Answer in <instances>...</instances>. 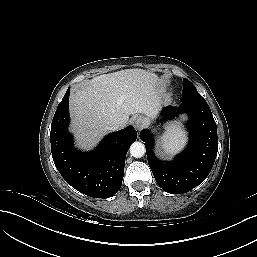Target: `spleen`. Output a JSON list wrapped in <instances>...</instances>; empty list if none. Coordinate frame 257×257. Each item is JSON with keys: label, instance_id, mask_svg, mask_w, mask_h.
Returning a JSON list of instances; mask_svg holds the SVG:
<instances>
[{"label": "spleen", "instance_id": "spleen-1", "mask_svg": "<svg viewBox=\"0 0 257 257\" xmlns=\"http://www.w3.org/2000/svg\"><path fill=\"white\" fill-rule=\"evenodd\" d=\"M185 132L178 126H170L167 128L163 140L162 148L165 154H173L183 147L185 144Z\"/></svg>", "mask_w": 257, "mask_h": 257}]
</instances>
